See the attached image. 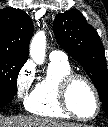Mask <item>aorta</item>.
Here are the masks:
<instances>
[{
  "instance_id": "762f6f07",
  "label": "aorta",
  "mask_w": 108,
  "mask_h": 127,
  "mask_svg": "<svg viewBox=\"0 0 108 127\" xmlns=\"http://www.w3.org/2000/svg\"><path fill=\"white\" fill-rule=\"evenodd\" d=\"M46 36L43 31L37 32L30 43V56L38 65H42L45 60Z\"/></svg>"
}]
</instances>
